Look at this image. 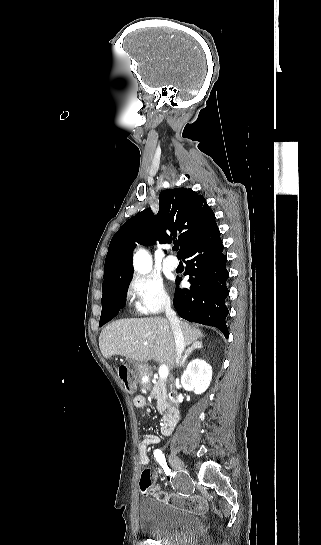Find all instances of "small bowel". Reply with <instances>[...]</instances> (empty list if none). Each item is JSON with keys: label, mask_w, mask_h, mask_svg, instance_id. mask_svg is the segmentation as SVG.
<instances>
[{"label": "small bowel", "mask_w": 321, "mask_h": 545, "mask_svg": "<svg viewBox=\"0 0 321 545\" xmlns=\"http://www.w3.org/2000/svg\"><path fill=\"white\" fill-rule=\"evenodd\" d=\"M134 405L137 408H143L146 405V399L142 395H137L134 397L133 400ZM159 442V438L154 434H146L143 436L142 440L139 443L138 450H139V459L140 463L146 467L149 464V456H148V449L151 445H155ZM158 473H162L163 471L161 469H158ZM153 475L155 477L156 473L153 472Z\"/></svg>", "instance_id": "c3829d8e"}]
</instances>
